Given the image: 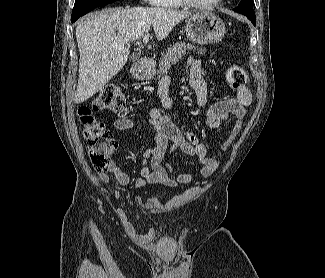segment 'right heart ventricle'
<instances>
[{"label":"right heart ventricle","mask_w":325,"mask_h":278,"mask_svg":"<svg viewBox=\"0 0 325 278\" xmlns=\"http://www.w3.org/2000/svg\"><path fill=\"white\" fill-rule=\"evenodd\" d=\"M156 5L165 8H179L183 6L180 0H158Z\"/></svg>","instance_id":"e07e8e85"}]
</instances>
